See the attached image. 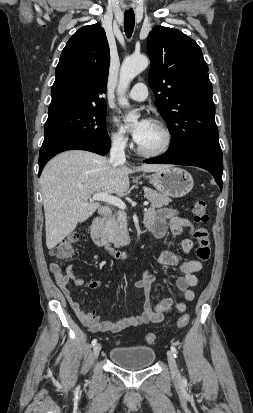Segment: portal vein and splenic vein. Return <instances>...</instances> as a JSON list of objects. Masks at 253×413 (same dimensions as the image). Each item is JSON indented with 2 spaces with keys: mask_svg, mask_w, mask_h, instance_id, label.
Instances as JSON below:
<instances>
[{
  "mask_svg": "<svg viewBox=\"0 0 253 413\" xmlns=\"http://www.w3.org/2000/svg\"><path fill=\"white\" fill-rule=\"evenodd\" d=\"M92 200H101V201L107 202V203H109V204H111V205H113V206H116V207L120 208L121 210H125V209L127 208V207H126V204L123 202V200H121V199L118 198V197H115V196L106 194V193H104V192L95 194V195L93 196ZM143 205H144V206H148V205H149V202H148V201H145V202L143 203Z\"/></svg>",
  "mask_w": 253,
  "mask_h": 413,
  "instance_id": "obj_1",
  "label": "portal vein and splenic vein"
}]
</instances>
